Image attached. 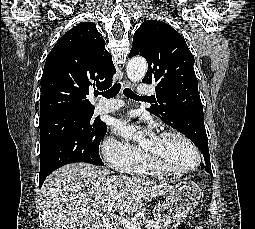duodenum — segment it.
<instances>
[{
	"label": "duodenum",
	"instance_id": "obj_1",
	"mask_svg": "<svg viewBox=\"0 0 255 229\" xmlns=\"http://www.w3.org/2000/svg\"><path fill=\"white\" fill-rule=\"evenodd\" d=\"M111 229H118L116 226H112Z\"/></svg>",
	"mask_w": 255,
	"mask_h": 229
}]
</instances>
